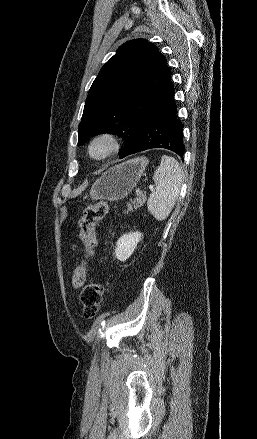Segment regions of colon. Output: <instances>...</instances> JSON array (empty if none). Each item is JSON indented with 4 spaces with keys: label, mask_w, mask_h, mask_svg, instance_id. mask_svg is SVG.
<instances>
[{
    "label": "colon",
    "mask_w": 257,
    "mask_h": 439,
    "mask_svg": "<svg viewBox=\"0 0 257 439\" xmlns=\"http://www.w3.org/2000/svg\"><path fill=\"white\" fill-rule=\"evenodd\" d=\"M108 211V202L99 200L88 206L80 219V237L84 245V258H88L96 246V226ZM86 261L83 259L71 275V284L74 287H81L86 279ZM104 289L98 282H91L83 287L81 291V302L84 315L87 318L94 317L102 304Z\"/></svg>",
    "instance_id": "1"
}]
</instances>
